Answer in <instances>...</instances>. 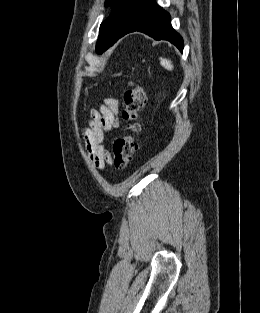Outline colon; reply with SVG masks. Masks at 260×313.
<instances>
[{
    "instance_id": "5ec220e1",
    "label": "colon",
    "mask_w": 260,
    "mask_h": 313,
    "mask_svg": "<svg viewBox=\"0 0 260 313\" xmlns=\"http://www.w3.org/2000/svg\"><path fill=\"white\" fill-rule=\"evenodd\" d=\"M124 94L123 119L126 132L117 138L113 145L112 163L118 170L125 169L131 162L136 149V136L140 131L139 112L146 103V94L142 85L134 80Z\"/></svg>"
}]
</instances>
